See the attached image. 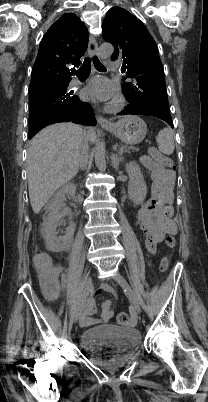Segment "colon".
Segmentation results:
<instances>
[{"label": "colon", "mask_w": 208, "mask_h": 402, "mask_svg": "<svg viewBox=\"0 0 208 402\" xmlns=\"http://www.w3.org/2000/svg\"><path fill=\"white\" fill-rule=\"evenodd\" d=\"M149 153L154 160L159 163H163L168 168L173 169L174 163L171 159L161 154L154 147L149 148ZM166 246L169 249H173L176 246V239L174 236L170 235L166 238ZM35 264L37 269L39 270V274L41 277H44L42 280V286L39 287L40 295H49V296H58L59 288L56 286H60L62 280L60 277H57V267L53 266L52 262H50V257L45 256L44 251L38 250L35 253ZM169 265V256H165L160 263V272L165 273L168 269ZM129 321L128 315L125 312H119L116 315V322L120 325H127Z\"/></svg>", "instance_id": "5ec220e1"}]
</instances>
